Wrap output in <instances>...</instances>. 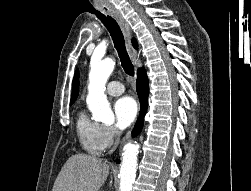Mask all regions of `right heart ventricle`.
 I'll list each match as a JSON object with an SVG mask.
<instances>
[{
  "instance_id": "right-heart-ventricle-1",
  "label": "right heart ventricle",
  "mask_w": 251,
  "mask_h": 191,
  "mask_svg": "<svg viewBox=\"0 0 251 191\" xmlns=\"http://www.w3.org/2000/svg\"><path fill=\"white\" fill-rule=\"evenodd\" d=\"M100 125L88 119L84 112L77 117L76 131L82 149L90 154L97 155L102 147L99 140Z\"/></svg>"
}]
</instances>
